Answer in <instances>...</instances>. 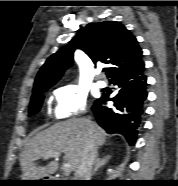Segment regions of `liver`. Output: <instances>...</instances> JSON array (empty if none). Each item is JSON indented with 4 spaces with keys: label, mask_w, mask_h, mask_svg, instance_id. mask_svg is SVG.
<instances>
[{
    "label": "liver",
    "mask_w": 178,
    "mask_h": 186,
    "mask_svg": "<svg viewBox=\"0 0 178 186\" xmlns=\"http://www.w3.org/2000/svg\"><path fill=\"white\" fill-rule=\"evenodd\" d=\"M86 121V119L72 118L57 122L30 139L20 156L23 180H39L57 171L58 160L56 159L44 167L36 164V161L41 158L47 159L45 155L48 152H63L66 161L76 171L86 141ZM90 123L96 146H102L106 139L105 131L96 123L91 121Z\"/></svg>",
    "instance_id": "1"
}]
</instances>
